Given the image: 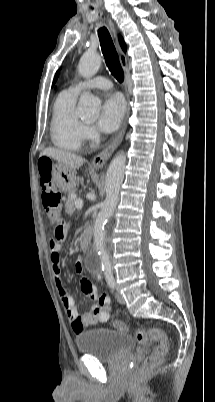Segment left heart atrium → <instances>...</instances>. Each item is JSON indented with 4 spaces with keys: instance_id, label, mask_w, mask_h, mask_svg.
Segmentation results:
<instances>
[{
    "instance_id": "1",
    "label": "left heart atrium",
    "mask_w": 215,
    "mask_h": 402,
    "mask_svg": "<svg viewBox=\"0 0 215 402\" xmlns=\"http://www.w3.org/2000/svg\"><path fill=\"white\" fill-rule=\"evenodd\" d=\"M125 114V102L118 94L108 95L101 106L98 120L99 128L104 132L115 131Z\"/></svg>"
}]
</instances>
